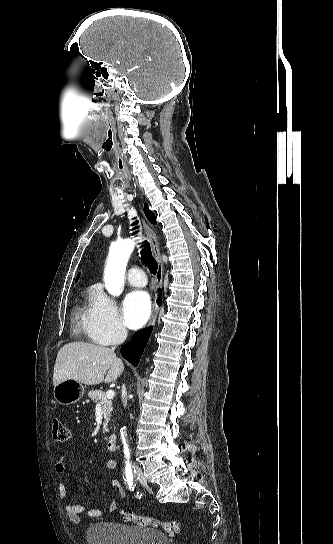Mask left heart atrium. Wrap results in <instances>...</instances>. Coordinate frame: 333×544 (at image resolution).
<instances>
[{"label": "left heart atrium", "instance_id": "1", "mask_svg": "<svg viewBox=\"0 0 333 544\" xmlns=\"http://www.w3.org/2000/svg\"><path fill=\"white\" fill-rule=\"evenodd\" d=\"M151 312V301L147 292L133 291L127 295L123 303V317L131 329H138L148 320Z\"/></svg>", "mask_w": 333, "mask_h": 544}]
</instances>
